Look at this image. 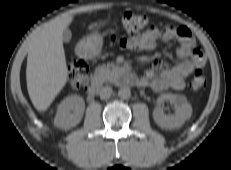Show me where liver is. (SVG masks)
<instances>
[{"label":"liver","instance_id":"1","mask_svg":"<svg viewBox=\"0 0 231 170\" xmlns=\"http://www.w3.org/2000/svg\"><path fill=\"white\" fill-rule=\"evenodd\" d=\"M72 16L57 17L33 37L27 57L26 81L32 104L45 111L67 83L63 31Z\"/></svg>","mask_w":231,"mask_h":170}]
</instances>
